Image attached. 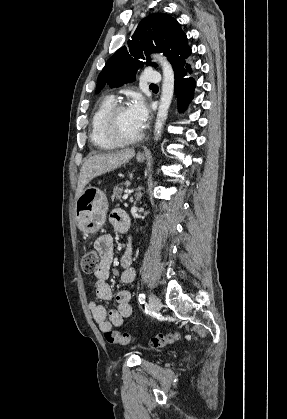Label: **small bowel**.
Here are the masks:
<instances>
[{"instance_id":"small-bowel-1","label":"small bowel","mask_w":287,"mask_h":419,"mask_svg":"<svg viewBox=\"0 0 287 419\" xmlns=\"http://www.w3.org/2000/svg\"><path fill=\"white\" fill-rule=\"evenodd\" d=\"M110 221L114 229L122 231L129 227V218L122 209H115L110 216ZM94 249L100 254L101 261L97 271L95 272L96 281L94 290L97 298L101 300H111L112 290L107 284L110 273V267L113 260V238L110 234H103L94 242ZM124 270L120 274L119 281L122 284L131 283L135 278V271L131 267L132 250L128 248L121 259ZM117 306L107 312L106 308L95 301L89 303V309L98 325L99 329L106 333L114 327L123 324L124 319L131 316L132 306L130 304L131 293L129 290H120L115 296Z\"/></svg>"}]
</instances>
